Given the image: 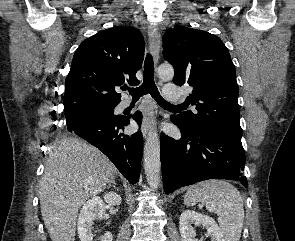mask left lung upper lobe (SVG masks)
<instances>
[{"label":"left lung upper lobe","mask_w":295,"mask_h":241,"mask_svg":"<svg viewBox=\"0 0 295 241\" xmlns=\"http://www.w3.org/2000/svg\"><path fill=\"white\" fill-rule=\"evenodd\" d=\"M164 58L175 70L176 85L193 87L187 98L197 112L175 118L186 130H210L241 139L238 85L234 64L219 37L176 26L163 36Z\"/></svg>","instance_id":"left-lung-upper-lobe-1"}]
</instances>
